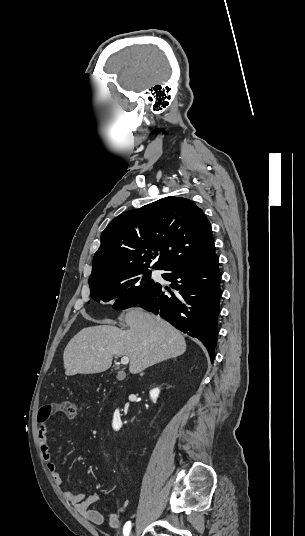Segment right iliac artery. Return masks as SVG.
Listing matches in <instances>:
<instances>
[{"label": "right iliac artery", "mask_w": 305, "mask_h": 536, "mask_svg": "<svg viewBox=\"0 0 305 536\" xmlns=\"http://www.w3.org/2000/svg\"><path fill=\"white\" fill-rule=\"evenodd\" d=\"M130 530H131V522L128 521V522H126V524L124 525V528H123L124 536H129Z\"/></svg>", "instance_id": "82829eb1"}]
</instances>
